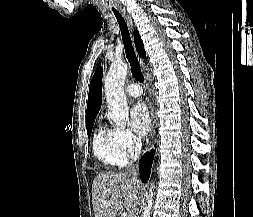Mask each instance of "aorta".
Instances as JSON below:
<instances>
[{
    "label": "aorta",
    "mask_w": 253,
    "mask_h": 217,
    "mask_svg": "<svg viewBox=\"0 0 253 217\" xmlns=\"http://www.w3.org/2000/svg\"><path fill=\"white\" fill-rule=\"evenodd\" d=\"M128 73V65L122 62H113L104 83L109 120L116 126L123 127L129 115V108L124 93V81ZM154 183H150L147 205L141 217H151L154 199Z\"/></svg>",
    "instance_id": "1"
}]
</instances>
